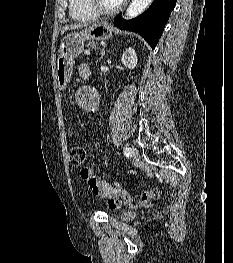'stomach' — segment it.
<instances>
[{
    "mask_svg": "<svg viewBox=\"0 0 233 263\" xmlns=\"http://www.w3.org/2000/svg\"><path fill=\"white\" fill-rule=\"evenodd\" d=\"M113 27L107 22L96 23L80 32L69 33L60 43L57 59L56 79L60 89H64L69 82L74 59L83 51L86 40H106L112 37Z\"/></svg>",
    "mask_w": 233,
    "mask_h": 263,
    "instance_id": "1",
    "label": "stomach"
}]
</instances>
